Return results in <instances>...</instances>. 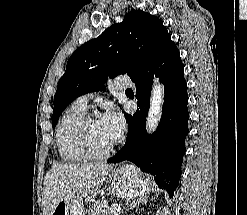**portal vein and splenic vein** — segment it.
<instances>
[{
    "label": "portal vein and splenic vein",
    "mask_w": 247,
    "mask_h": 215,
    "mask_svg": "<svg viewBox=\"0 0 247 215\" xmlns=\"http://www.w3.org/2000/svg\"><path fill=\"white\" fill-rule=\"evenodd\" d=\"M114 210H115L116 214H120V212H121V208L120 207H115Z\"/></svg>",
    "instance_id": "18ae733b"
}]
</instances>
